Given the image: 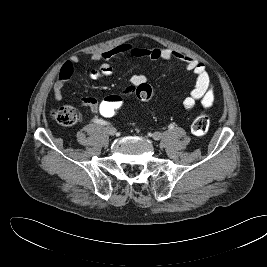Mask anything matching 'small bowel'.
Listing matches in <instances>:
<instances>
[{"label": "small bowel", "instance_id": "c3829d8e", "mask_svg": "<svg viewBox=\"0 0 267 267\" xmlns=\"http://www.w3.org/2000/svg\"><path fill=\"white\" fill-rule=\"evenodd\" d=\"M131 56L137 58H147L151 60L164 59V60H181L185 63L186 69L191 72L195 77V84L189 95L183 99L182 105L186 110H192L199 101L202 107L209 108L213 105L215 99L214 87L210 76L204 66V64L197 60L176 52L170 48L163 47H146L141 48L134 46L130 43L120 44L114 48L92 54L90 57L93 60H104L98 67L92 69L89 73V77L93 80H98L106 77H110L113 74V68L107 62L110 59L117 57ZM78 62L77 57H72L66 61L60 68L58 78L53 85V95L56 101L62 99V92L65 84L71 79L74 67ZM132 86L127 87L120 91L125 97H129L135 90V88L143 83L147 82V77L144 74H134L130 79ZM99 102L95 97H83L80 103L83 106L88 107L92 112L98 111Z\"/></svg>", "mask_w": 267, "mask_h": 267}]
</instances>
